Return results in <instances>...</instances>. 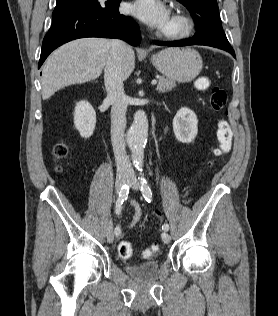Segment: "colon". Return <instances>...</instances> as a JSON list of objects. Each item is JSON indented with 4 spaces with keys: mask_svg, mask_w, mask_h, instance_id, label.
Wrapping results in <instances>:
<instances>
[{
    "mask_svg": "<svg viewBox=\"0 0 278 316\" xmlns=\"http://www.w3.org/2000/svg\"><path fill=\"white\" fill-rule=\"evenodd\" d=\"M208 85L207 79H199L198 80V87H206ZM227 103V92L223 88H215L211 92L210 96V105L214 110H222L225 108ZM217 139H218V146L215 150V154L218 157H223L226 155L232 145V131L229 124L225 120H220L218 123V130H217ZM53 153L55 157L59 160L66 157L68 153V147L64 142H59L55 144L53 148ZM158 249L157 244L151 245L144 252L145 257L151 256L155 253ZM118 253L122 258H129L133 254V246L129 241H122L118 246Z\"/></svg>",
    "mask_w": 278,
    "mask_h": 316,
    "instance_id": "5ec220e1",
    "label": "colon"
}]
</instances>
